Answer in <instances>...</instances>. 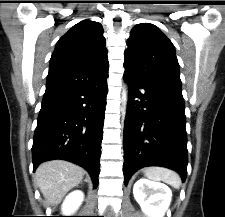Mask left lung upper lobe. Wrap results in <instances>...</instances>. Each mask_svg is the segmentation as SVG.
<instances>
[{"mask_svg":"<svg viewBox=\"0 0 225 217\" xmlns=\"http://www.w3.org/2000/svg\"><path fill=\"white\" fill-rule=\"evenodd\" d=\"M127 45L124 53L127 74L147 83L181 89L174 45L155 25L134 26Z\"/></svg>","mask_w":225,"mask_h":217,"instance_id":"5c2ea615","label":"left lung upper lobe"}]
</instances>
